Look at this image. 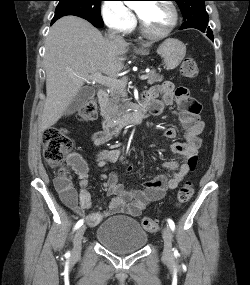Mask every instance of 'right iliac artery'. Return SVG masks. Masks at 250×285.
Segmentation results:
<instances>
[{
    "label": "right iliac artery",
    "mask_w": 250,
    "mask_h": 285,
    "mask_svg": "<svg viewBox=\"0 0 250 285\" xmlns=\"http://www.w3.org/2000/svg\"><path fill=\"white\" fill-rule=\"evenodd\" d=\"M83 222H84L83 219H80V220L76 223L74 229L76 230V229H78L80 226H82V225H83ZM67 255L69 256V253H67Z\"/></svg>",
    "instance_id": "obj_1"
}]
</instances>
